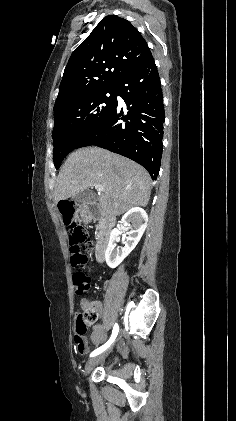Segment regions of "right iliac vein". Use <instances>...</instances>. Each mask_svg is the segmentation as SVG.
I'll list each match as a JSON object with an SVG mask.
<instances>
[{
    "mask_svg": "<svg viewBox=\"0 0 236 421\" xmlns=\"http://www.w3.org/2000/svg\"><path fill=\"white\" fill-rule=\"evenodd\" d=\"M111 350L112 346L106 349L103 353L99 354L98 356L91 358L86 364L85 375H88L94 366L102 362L108 356Z\"/></svg>",
    "mask_w": 236,
    "mask_h": 421,
    "instance_id": "right-iliac-vein-1",
    "label": "right iliac vein"
}]
</instances>
